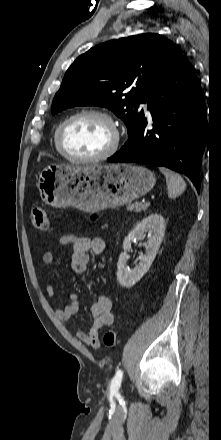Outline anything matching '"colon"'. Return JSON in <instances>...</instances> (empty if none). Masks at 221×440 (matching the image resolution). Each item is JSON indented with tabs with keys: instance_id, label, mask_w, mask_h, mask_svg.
<instances>
[{
	"instance_id": "1",
	"label": "colon",
	"mask_w": 221,
	"mask_h": 440,
	"mask_svg": "<svg viewBox=\"0 0 221 440\" xmlns=\"http://www.w3.org/2000/svg\"><path fill=\"white\" fill-rule=\"evenodd\" d=\"M95 214L92 215V219H96ZM31 223L32 226L37 230H47L48 229V218L46 216L45 210L41 206H34L31 211ZM103 343L107 348H114L118 343V333L116 329L108 330L103 337Z\"/></svg>"
}]
</instances>
